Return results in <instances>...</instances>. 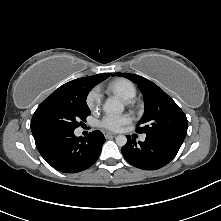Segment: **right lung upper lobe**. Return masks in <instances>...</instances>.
<instances>
[{"mask_svg": "<svg viewBox=\"0 0 221 221\" xmlns=\"http://www.w3.org/2000/svg\"><path fill=\"white\" fill-rule=\"evenodd\" d=\"M111 74H98L94 76L84 77L72 80L55 90L50 96H59V97H71L79 95L81 89L86 85H96L99 82L108 78Z\"/></svg>", "mask_w": 221, "mask_h": 221, "instance_id": "cb5924a9", "label": "right lung upper lobe"}]
</instances>
